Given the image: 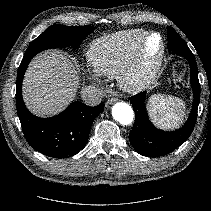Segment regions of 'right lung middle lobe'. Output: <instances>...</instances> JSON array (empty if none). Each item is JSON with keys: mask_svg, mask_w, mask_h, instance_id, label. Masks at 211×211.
I'll return each instance as SVG.
<instances>
[{"mask_svg": "<svg viewBox=\"0 0 211 211\" xmlns=\"http://www.w3.org/2000/svg\"><path fill=\"white\" fill-rule=\"evenodd\" d=\"M93 30L94 27L91 25H52L31 42L23 59L32 58L37 53L54 47L72 46L76 48Z\"/></svg>", "mask_w": 211, "mask_h": 211, "instance_id": "dd1d6c3e", "label": "right lung middle lobe"}]
</instances>
